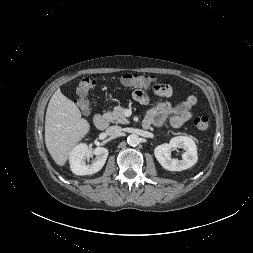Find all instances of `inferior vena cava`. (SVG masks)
<instances>
[{"label": "inferior vena cava", "mask_w": 253, "mask_h": 253, "mask_svg": "<svg viewBox=\"0 0 253 253\" xmlns=\"http://www.w3.org/2000/svg\"><path fill=\"white\" fill-rule=\"evenodd\" d=\"M122 132V128L120 126H110L109 128H107L106 133L109 136H117L119 134H121Z\"/></svg>", "instance_id": "1"}]
</instances>
